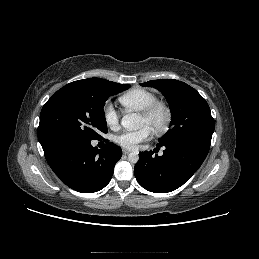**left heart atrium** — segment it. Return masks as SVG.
Segmentation results:
<instances>
[{
    "instance_id": "obj_1",
    "label": "left heart atrium",
    "mask_w": 259,
    "mask_h": 259,
    "mask_svg": "<svg viewBox=\"0 0 259 259\" xmlns=\"http://www.w3.org/2000/svg\"><path fill=\"white\" fill-rule=\"evenodd\" d=\"M151 129L147 126H141L139 129L134 131H123L117 134L114 141L117 145L124 149L134 150L137 146L150 138Z\"/></svg>"
}]
</instances>
